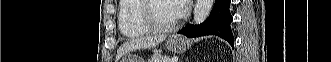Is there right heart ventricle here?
<instances>
[{
  "mask_svg": "<svg viewBox=\"0 0 331 62\" xmlns=\"http://www.w3.org/2000/svg\"><path fill=\"white\" fill-rule=\"evenodd\" d=\"M141 0H121L118 7L119 30L127 38H138L149 33L139 20Z\"/></svg>",
  "mask_w": 331,
  "mask_h": 62,
  "instance_id": "obj_1",
  "label": "right heart ventricle"
}]
</instances>
